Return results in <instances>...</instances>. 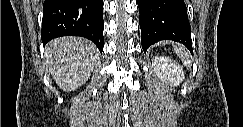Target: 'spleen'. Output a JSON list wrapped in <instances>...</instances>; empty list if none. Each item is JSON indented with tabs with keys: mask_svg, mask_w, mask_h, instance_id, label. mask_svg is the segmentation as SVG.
<instances>
[{
	"mask_svg": "<svg viewBox=\"0 0 243 127\" xmlns=\"http://www.w3.org/2000/svg\"><path fill=\"white\" fill-rule=\"evenodd\" d=\"M174 47H175V52L181 58V60L183 61L184 65L187 66V67H191V61L189 59V54L185 50V48L180 47V46H174Z\"/></svg>",
	"mask_w": 243,
	"mask_h": 127,
	"instance_id": "1",
	"label": "spleen"
}]
</instances>
